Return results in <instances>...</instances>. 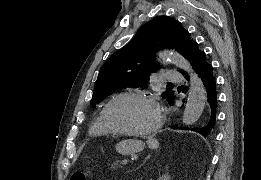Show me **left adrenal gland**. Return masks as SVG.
<instances>
[{
    "mask_svg": "<svg viewBox=\"0 0 261 180\" xmlns=\"http://www.w3.org/2000/svg\"><path fill=\"white\" fill-rule=\"evenodd\" d=\"M150 156H147V158H145L143 164H145L146 160H149Z\"/></svg>",
    "mask_w": 261,
    "mask_h": 180,
    "instance_id": "obj_1",
    "label": "left adrenal gland"
}]
</instances>
